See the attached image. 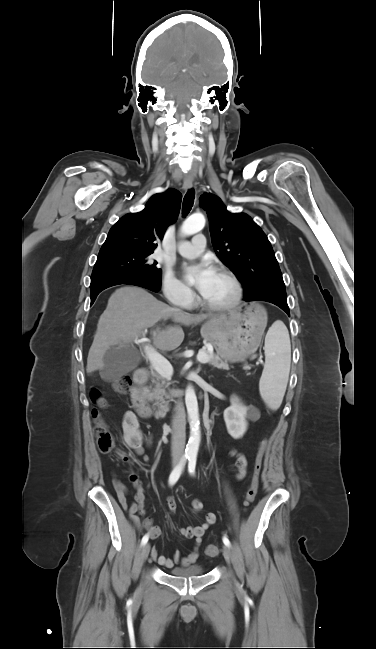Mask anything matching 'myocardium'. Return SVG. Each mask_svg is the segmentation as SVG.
Wrapping results in <instances>:
<instances>
[{
	"label": "myocardium",
	"instance_id": "obj_1",
	"mask_svg": "<svg viewBox=\"0 0 376 649\" xmlns=\"http://www.w3.org/2000/svg\"><path fill=\"white\" fill-rule=\"evenodd\" d=\"M217 272L226 275L229 280L231 281L233 287H234V294L233 297L226 303L220 304V305H215L207 302L203 295H201L199 301L200 304L207 310L212 311V312H226L230 311L233 308H235L242 300L243 297V288L240 280L238 277L234 274L233 271H231L229 268L220 266L217 268Z\"/></svg>",
	"mask_w": 376,
	"mask_h": 649
}]
</instances>
